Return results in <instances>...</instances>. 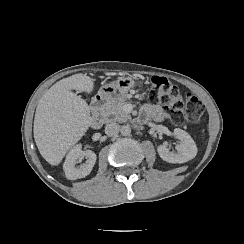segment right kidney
<instances>
[{
	"mask_svg": "<svg viewBox=\"0 0 244 244\" xmlns=\"http://www.w3.org/2000/svg\"><path fill=\"white\" fill-rule=\"evenodd\" d=\"M86 159L85 163L81 164L82 159ZM96 154L92 150H81V146L74 147L64 163V172L69 180H76L88 176L94 167ZM79 163V166L75 165Z\"/></svg>",
	"mask_w": 244,
	"mask_h": 244,
	"instance_id": "obj_1",
	"label": "right kidney"
}]
</instances>
